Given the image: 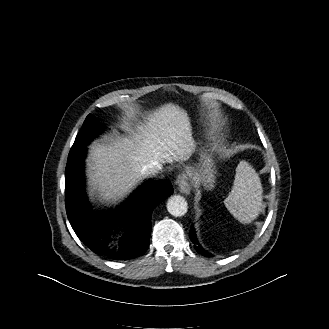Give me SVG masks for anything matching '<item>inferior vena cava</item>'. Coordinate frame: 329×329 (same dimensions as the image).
<instances>
[{
    "mask_svg": "<svg viewBox=\"0 0 329 329\" xmlns=\"http://www.w3.org/2000/svg\"><path fill=\"white\" fill-rule=\"evenodd\" d=\"M162 168V164L157 161H152L141 169V173L144 177L152 176L162 171Z\"/></svg>",
    "mask_w": 329,
    "mask_h": 329,
    "instance_id": "1",
    "label": "inferior vena cava"
}]
</instances>
